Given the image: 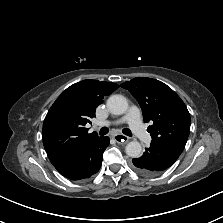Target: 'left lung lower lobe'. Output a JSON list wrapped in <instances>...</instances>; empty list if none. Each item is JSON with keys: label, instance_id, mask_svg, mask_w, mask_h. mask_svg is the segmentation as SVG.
I'll return each mask as SVG.
<instances>
[{"label": "left lung lower lobe", "instance_id": "1", "mask_svg": "<svg viewBox=\"0 0 223 223\" xmlns=\"http://www.w3.org/2000/svg\"><path fill=\"white\" fill-rule=\"evenodd\" d=\"M182 151L165 143L151 142L141 157L132 160V167L141 175H155L174 164Z\"/></svg>", "mask_w": 223, "mask_h": 223}]
</instances>
